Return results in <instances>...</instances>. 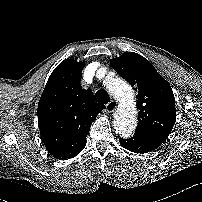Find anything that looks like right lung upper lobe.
Segmentation results:
<instances>
[{"mask_svg":"<svg viewBox=\"0 0 202 202\" xmlns=\"http://www.w3.org/2000/svg\"><path fill=\"white\" fill-rule=\"evenodd\" d=\"M83 62L66 59L50 75L38 104L42 142L56 159H69L86 145L92 122L105 107L80 87Z\"/></svg>","mask_w":202,"mask_h":202,"instance_id":"obj_1","label":"right lung upper lobe"}]
</instances>
